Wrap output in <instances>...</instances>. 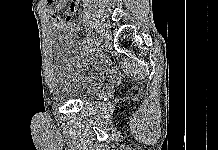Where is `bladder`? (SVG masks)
Returning a JSON list of instances; mask_svg holds the SVG:
<instances>
[{"mask_svg": "<svg viewBox=\"0 0 218 150\" xmlns=\"http://www.w3.org/2000/svg\"><path fill=\"white\" fill-rule=\"evenodd\" d=\"M52 69L54 96L63 101L93 96L107 79L110 68L91 49L80 45L69 34H59L53 43Z\"/></svg>", "mask_w": 218, "mask_h": 150, "instance_id": "obj_1", "label": "bladder"}]
</instances>
